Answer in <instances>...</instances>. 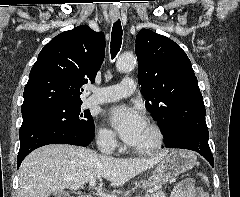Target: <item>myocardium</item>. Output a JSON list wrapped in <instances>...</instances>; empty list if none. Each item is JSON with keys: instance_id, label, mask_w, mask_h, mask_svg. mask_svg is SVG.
Wrapping results in <instances>:
<instances>
[{"instance_id": "myocardium-1", "label": "myocardium", "mask_w": 240, "mask_h": 197, "mask_svg": "<svg viewBox=\"0 0 240 197\" xmlns=\"http://www.w3.org/2000/svg\"><path fill=\"white\" fill-rule=\"evenodd\" d=\"M147 126L151 131L153 141L146 146H131L130 149L138 155H147L157 153L164 145V133L161 127L153 121H148Z\"/></svg>"}]
</instances>
